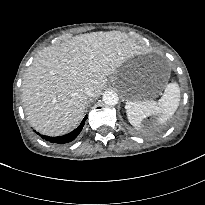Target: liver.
Segmentation results:
<instances>
[{"label":"liver","instance_id":"1","mask_svg":"<svg viewBox=\"0 0 205 205\" xmlns=\"http://www.w3.org/2000/svg\"><path fill=\"white\" fill-rule=\"evenodd\" d=\"M140 54L139 46L119 31L92 32L41 50L22 82V101L28 121L51 136L68 133L84 117L85 87L99 96L114 73Z\"/></svg>","mask_w":205,"mask_h":205}]
</instances>
